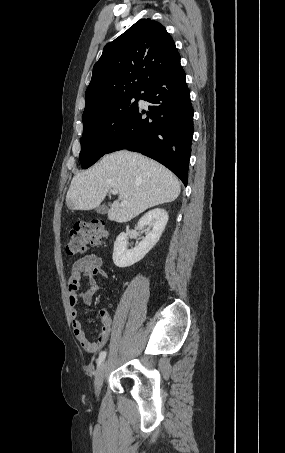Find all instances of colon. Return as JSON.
I'll return each mask as SVG.
<instances>
[{"mask_svg":"<svg viewBox=\"0 0 285 453\" xmlns=\"http://www.w3.org/2000/svg\"><path fill=\"white\" fill-rule=\"evenodd\" d=\"M106 234L105 224L100 220L77 223L69 233L66 252L69 255L83 253L88 245H99Z\"/></svg>","mask_w":285,"mask_h":453,"instance_id":"5ec220e1","label":"colon"}]
</instances>
